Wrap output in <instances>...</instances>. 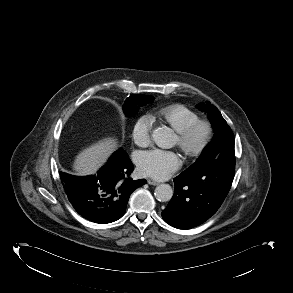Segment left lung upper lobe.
Wrapping results in <instances>:
<instances>
[{
  "mask_svg": "<svg viewBox=\"0 0 293 293\" xmlns=\"http://www.w3.org/2000/svg\"><path fill=\"white\" fill-rule=\"evenodd\" d=\"M197 107L209 114L215 135L211 144L188 170H217L229 164L235 165L234 135L220 111L209 101L200 103Z\"/></svg>",
  "mask_w": 293,
  "mask_h": 293,
  "instance_id": "obj_1",
  "label": "left lung upper lobe"
}]
</instances>
